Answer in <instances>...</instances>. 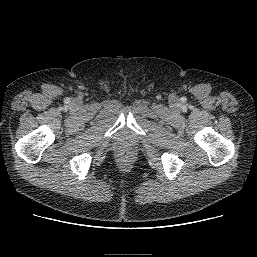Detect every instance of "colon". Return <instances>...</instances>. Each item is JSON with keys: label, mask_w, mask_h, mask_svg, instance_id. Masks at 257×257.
<instances>
[{"label": "colon", "mask_w": 257, "mask_h": 257, "mask_svg": "<svg viewBox=\"0 0 257 257\" xmlns=\"http://www.w3.org/2000/svg\"><path fill=\"white\" fill-rule=\"evenodd\" d=\"M132 156V149L129 146H124L121 150V157L124 161H128Z\"/></svg>", "instance_id": "1"}]
</instances>
